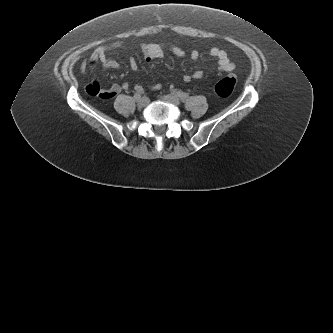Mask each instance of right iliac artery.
<instances>
[{"instance_id":"82829eb1","label":"right iliac artery","mask_w":333,"mask_h":333,"mask_svg":"<svg viewBox=\"0 0 333 333\" xmlns=\"http://www.w3.org/2000/svg\"><path fill=\"white\" fill-rule=\"evenodd\" d=\"M141 94H143V92H137V93L134 95V98L138 101V100L141 98Z\"/></svg>"}]
</instances>
